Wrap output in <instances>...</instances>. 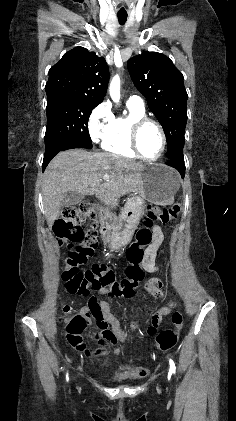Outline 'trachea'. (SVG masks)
Returning a JSON list of instances; mask_svg holds the SVG:
<instances>
[{
	"instance_id": "3493384b",
	"label": "trachea",
	"mask_w": 236,
	"mask_h": 421,
	"mask_svg": "<svg viewBox=\"0 0 236 421\" xmlns=\"http://www.w3.org/2000/svg\"><path fill=\"white\" fill-rule=\"evenodd\" d=\"M120 25H124L127 21V15H118L117 16Z\"/></svg>"
}]
</instances>
